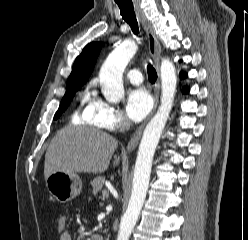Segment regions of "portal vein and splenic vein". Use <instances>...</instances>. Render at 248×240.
I'll use <instances>...</instances> for the list:
<instances>
[{"mask_svg":"<svg viewBox=\"0 0 248 240\" xmlns=\"http://www.w3.org/2000/svg\"><path fill=\"white\" fill-rule=\"evenodd\" d=\"M102 196L103 197H108L109 196V192L105 189L102 191Z\"/></svg>","mask_w":248,"mask_h":240,"instance_id":"portal-vein-and-splenic-vein-1","label":"portal vein and splenic vein"}]
</instances>
